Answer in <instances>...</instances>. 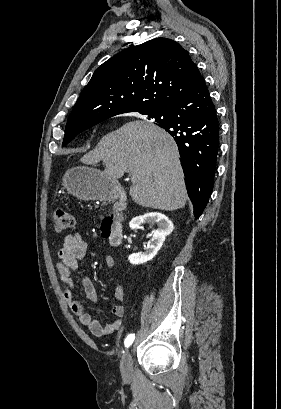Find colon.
Returning <instances> with one entry per match:
<instances>
[{"mask_svg":"<svg viewBox=\"0 0 281 409\" xmlns=\"http://www.w3.org/2000/svg\"><path fill=\"white\" fill-rule=\"evenodd\" d=\"M52 220L56 231L63 234L71 229L74 225V219L71 213L64 209H56L52 213Z\"/></svg>","mask_w":281,"mask_h":409,"instance_id":"colon-1","label":"colon"}]
</instances>
